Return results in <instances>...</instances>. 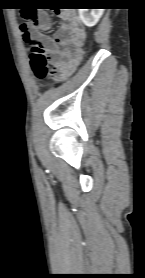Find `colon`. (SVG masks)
Returning <instances> with one entry per match:
<instances>
[{
	"label": "colon",
	"instance_id": "obj_1",
	"mask_svg": "<svg viewBox=\"0 0 145 278\" xmlns=\"http://www.w3.org/2000/svg\"><path fill=\"white\" fill-rule=\"evenodd\" d=\"M25 19H31L34 14L26 11L23 14ZM23 39L30 49V61L34 76L42 80L49 75V63L41 45L29 34H23Z\"/></svg>",
	"mask_w": 145,
	"mask_h": 278
}]
</instances>
